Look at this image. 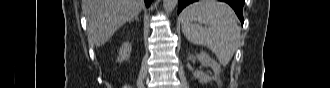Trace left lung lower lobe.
Returning a JSON list of instances; mask_svg holds the SVG:
<instances>
[{
    "label": "left lung lower lobe",
    "instance_id": "0a47b994",
    "mask_svg": "<svg viewBox=\"0 0 330 88\" xmlns=\"http://www.w3.org/2000/svg\"><path fill=\"white\" fill-rule=\"evenodd\" d=\"M197 0H179L178 3V13L182 11L188 4L196 2ZM222 2L228 3L236 12L238 18L240 19L242 25L244 23V18L242 15V9L244 5V0H220Z\"/></svg>",
    "mask_w": 330,
    "mask_h": 88
}]
</instances>
